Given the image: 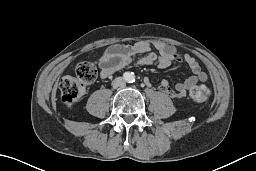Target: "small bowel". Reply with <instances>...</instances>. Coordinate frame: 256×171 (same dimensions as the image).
I'll return each instance as SVG.
<instances>
[{
	"instance_id": "c3829d8e",
	"label": "small bowel",
	"mask_w": 256,
	"mask_h": 171,
	"mask_svg": "<svg viewBox=\"0 0 256 171\" xmlns=\"http://www.w3.org/2000/svg\"><path fill=\"white\" fill-rule=\"evenodd\" d=\"M173 62L186 64L192 72L185 81L171 86L170 81L163 80L159 89L171 99L183 98L188 91L198 83L207 80V74L198 61L189 54L179 56L175 46L162 41H140L130 45H112L108 47L99 59L100 77L105 79L110 75L130 65L157 64L161 69L168 68ZM149 84V81L146 80Z\"/></svg>"
}]
</instances>
